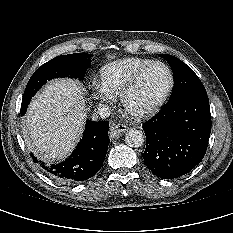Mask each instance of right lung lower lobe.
Here are the masks:
<instances>
[{
  "label": "right lung lower lobe",
  "mask_w": 233,
  "mask_h": 233,
  "mask_svg": "<svg viewBox=\"0 0 233 233\" xmlns=\"http://www.w3.org/2000/svg\"><path fill=\"white\" fill-rule=\"evenodd\" d=\"M29 101H22L21 115H24ZM109 122H92L87 120L85 132L71 156L60 164L41 167L53 179L75 183L94 176L103 164L110 139L108 137ZM33 161L37 159L31 154Z\"/></svg>",
  "instance_id": "right-lung-lower-lobe-1"
}]
</instances>
